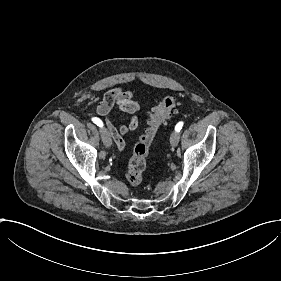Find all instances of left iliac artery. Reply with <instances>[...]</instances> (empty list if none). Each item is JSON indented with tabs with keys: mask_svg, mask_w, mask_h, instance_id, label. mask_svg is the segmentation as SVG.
Wrapping results in <instances>:
<instances>
[{
	"mask_svg": "<svg viewBox=\"0 0 281 281\" xmlns=\"http://www.w3.org/2000/svg\"><path fill=\"white\" fill-rule=\"evenodd\" d=\"M182 126H183V122H179L175 127L176 132H180V130L182 129Z\"/></svg>",
	"mask_w": 281,
	"mask_h": 281,
	"instance_id": "1",
	"label": "left iliac artery"
}]
</instances>
